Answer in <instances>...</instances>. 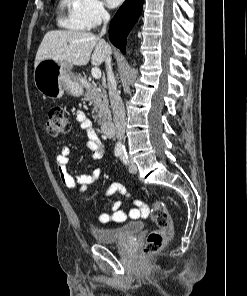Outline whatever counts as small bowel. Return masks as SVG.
Instances as JSON below:
<instances>
[{
	"mask_svg": "<svg viewBox=\"0 0 247 296\" xmlns=\"http://www.w3.org/2000/svg\"><path fill=\"white\" fill-rule=\"evenodd\" d=\"M76 120L81 126L82 129H84L87 133V140H86V147L91 151L92 153V160L94 162L99 161L102 158V150L99 138L97 136L96 130L94 129L92 122L90 119L83 113L78 112L76 114ZM70 159V149L68 147H63L60 151V153L56 156V167L60 176L61 181L65 185V187L68 190H78L79 193L84 192L87 187L93 183L95 180H97L101 174L102 169L100 167L94 168L92 173L90 174H80L76 176H72L67 171V164ZM115 194H120L126 198H130V195L128 194L126 188L123 186V184L119 181L112 182L107 191H106V197H111ZM134 203L138 205L141 209L144 207V205L134 200ZM111 212L110 213H100L97 216V221L100 224H108V223H115L119 224L126 220L127 213L122 210V204L120 201H114L111 204ZM140 209L134 208L129 211V216L131 218H136L135 214H140Z\"/></svg>",
	"mask_w": 247,
	"mask_h": 296,
	"instance_id": "small-bowel-1",
	"label": "small bowel"
}]
</instances>
